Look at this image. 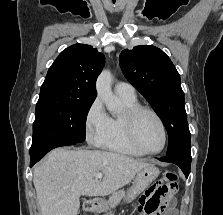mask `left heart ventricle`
Returning a JSON list of instances; mask_svg holds the SVG:
<instances>
[{"mask_svg":"<svg viewBox=\"0 0 223 215\" xmlns=\"http://www.w3.org/2000/svg\"><path fill=\"white\" fill-rule=\"evenodd\" d=\"M135 139L141 151L151 152L161 145V131L156 120L149 114H142L135 126Z\"/></svg>","mask_w":223,"mask_h":215,"instance_id":"left-heart-ventricle-1","label":"left heart ventricle"}]
</instances>
